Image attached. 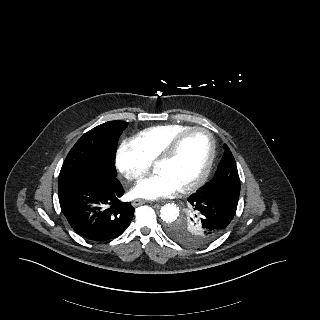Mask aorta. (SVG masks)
I'll return each mask as SVG.
<instances>
[{"label": "aorta", "instance_id": "1", "mask_svg": "<svg viewBox=\"0 0 320 320\" xmlns=\"http://www.w3.org/2000/svg\"><path fill=\"white\" fill-rule=\"evenodd\" d=\"M179 216V208L176 204L168 203L162 206L160 211L161 219L166 223L175 221Z\"/></svg>", "mask_w": 320, "mask_h": 320}]
</instances>
